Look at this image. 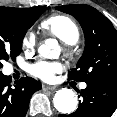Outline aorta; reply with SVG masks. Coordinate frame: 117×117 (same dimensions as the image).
Listing matches in <instances>:
<instances>
[{
    "mask_svg": "<svg viewBox=\"0 0 117 117\" xmlns=\"http://www.w3.org/2000/svg\"><path fill=\"white\" fill-rule=\"evenodd\" d=\"M42 57L56 59L59 57L58 43L54 39H47L38 49ZM54 107L62 114H70L76 110L78 99L76 94L68 88L58 90L53 98Z\"/></svg>",
    "mask_w": 117,
    "mask_h": 117,
    "instance_id": "1",
    "label": "aorta"
}]
</instances>
